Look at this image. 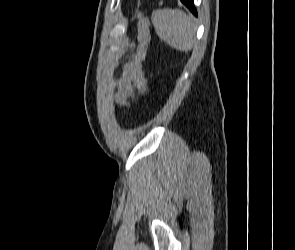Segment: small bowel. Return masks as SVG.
Listing matches in <instances>:
<instances>
[{"label":"small bowel","instance_id":"small-bowel-1","mask_svg":"<svg viewBox=\"0 0 295 250\" xmlns=\"http://www.w3.org/2000/svg\"><path fill=\"white\" fill-rule=\"evenodd\" d=\"M134 96V86L125 80L120 79L117 83L116 103L120 108L128 107L129 100Z\"/></svg>","mask_w":295,"mask_h":250}]
</instances>
